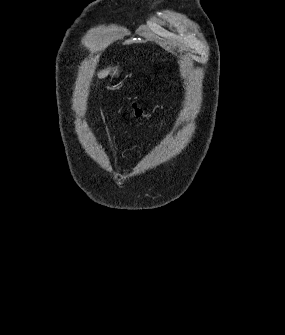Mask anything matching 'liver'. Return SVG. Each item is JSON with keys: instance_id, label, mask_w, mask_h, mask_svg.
Listing matches in <instances>:
<instances>
[{"instance_id": "obj_1", "label": "liver", "mask_w": 285, "mask_h": 335, "mask_svg": "<svg viewBox=\"0 0 285 335\" xmlns=\"http://www.w3.org/2000/svg\"><path fill=\"white\" fill-rule=\"evenodd\" d=\"M109 70H110V68H108L107 72H101L102 78H103V76H106V74H108Z\"/></svg>"}]
</instances>
